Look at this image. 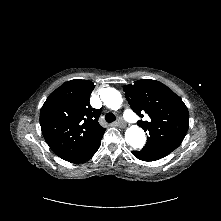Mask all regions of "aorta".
Wrapping results in <instances>:
<instances>
[{
    "label": "aorta",
    "instance_id": "aorta-1",
    "mask_svg": "<svg viewBox=\"0 0 221 221\" xmlns=\"http://www.w3.org/2000/svg\"><path fill=\"white\" fill-rule=\"evenodd\" d=\"M101 99L112 110H118L123 103L120 92L114 88L103 89ZM125 140L134 149H140L146 142L145 132L137 125H133L125 131Z\"/></svg>",
    "mask_w": 221,
    "mask_h": 221
}]
</instances>
